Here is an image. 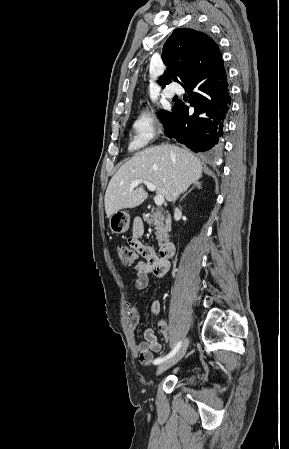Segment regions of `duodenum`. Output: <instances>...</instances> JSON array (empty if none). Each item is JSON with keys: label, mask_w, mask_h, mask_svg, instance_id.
I'll list each match as a JSON object with an SVG mask.
<instances>
[{"label": "duodenum", "mask_w": 289, "mask_h": 449, "mask_svg": "<svg viewBox=\"0 0 289 449\" xmlns=\"http://www.w3.org/2000/svg\"><path fill=\"white\" fill-rule=\"evenodd\" d=\"M175 246L172 242H164L159 248L161 258L168 260L174 254Z\"/></svg>", "instance_id": "1"}]
</instances>
